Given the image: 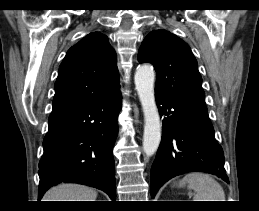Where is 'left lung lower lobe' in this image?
<instances>
[{
	"mask_svg": "<svg viewBox=\"0 0 259 211\" xmlns=\"http://www.w3.org/2000/svg\"><path fill=\"white\" fill-rule=\"evenodd\" d=\"M162 121V140L151 168V197L169 179L192 171L214 174L229 182L224 154L215 139L205 104L155 92Z\"/></svg>",
	"mask_w": 259,
	"mask_h": 211,
	"instance_id": "1",
	"label": "left lung lower lobe"
}]
</instances>
